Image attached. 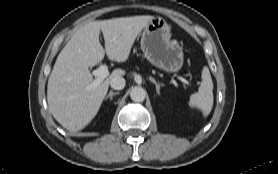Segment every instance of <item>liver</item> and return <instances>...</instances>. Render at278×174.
Segmentation results:
<instances>
[{"instance_id":"6515ba94","label":"liver","mask_w":278,"mask_h":174,"mask_svg":"<svg viewBox=\"0 0 278 174\" xmlns=\"http://www.w3.org/2000/svg\"><path fill=\"white\" fill-rule=\"evenodd\" d=\"M153 16H131L91 21L79 28L58 55L48 79L47 101L55 120L70 132L84 129L96 116L112 78L125 75L114 69L96 88L89 67L105 56L125 62L132 46ZM102 32L105 49L99 41Z\"/></svg>"}]
</instances>
